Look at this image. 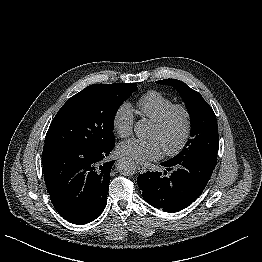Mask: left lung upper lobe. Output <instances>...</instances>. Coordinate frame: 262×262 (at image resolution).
<instances>
[{"label": "left lung upper lobe", "instance_id": "1", "mask_svg": "<svg viewBox=\"0 0 262 262\" xmlns=\"http://www.w3.org/2000/svg\"><path fill=\"white\" fill-rule=\"evenodd\" d=\"M170 85L181 95L191 120V139L176 159L209 158L216 159L219 145L218 126L214 111L200 93L176 79H164L156 82Z\"/></svg>", "mask_w": 262, "mask_h": 262}]
</instances>
